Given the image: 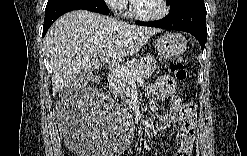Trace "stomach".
I'll return each instance as SVG.
<instances>
[{
  "label": "stomach",
  "mask_w": 247,
  "mask_h": 156,
  "mask_svg": "<svg viewBox=\"0 0 247 156\" xmlns=\"http://www.w3.org/2000/svg\"><path fill=\"white\" fill-rule=\"evenodd\" d=\"M156 46L162 57L172 58L185 51L187 40L180 33H166L157 39Z\"/></svg>",
  "instance_id": "0dacf381"
}]
</instances>
